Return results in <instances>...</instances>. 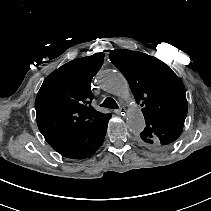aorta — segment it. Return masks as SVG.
Instances as JSON below:
<instances>
[{
    "mask_svg": "<svg viewBox=\"0 0 211 211\" xmlns=\"http://www.w3.org/2000/svg\"><path fill=\"white\" fill-rule=\"evenodd\" d=\"M100 85L108 93L121 98H128L130 89L125 77L113 70H106L100 75ZM126 123L129 130L133 133H140L145 128V119L142 111L136 105L129 108L126 115Z\"/></svg>",
    "mask_w": 211,
    "mask_h": 211,
    "instance_id": "obj_1",
    "label": "aorta"
}]
</instances>
